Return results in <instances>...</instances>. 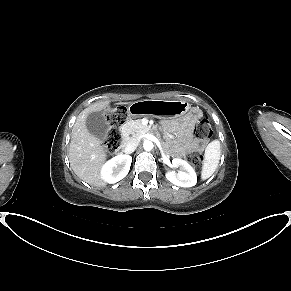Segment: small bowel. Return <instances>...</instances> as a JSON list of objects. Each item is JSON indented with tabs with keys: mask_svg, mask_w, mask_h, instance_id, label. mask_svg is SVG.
I'll return each mask as SVG.
<instances>
[{
	"mask_svg": "<svg viewBox=\"0 0 291 291\" xmlns=\"http://www.w3.org/2000/svg\"><path fill=\"white\" fill-rule=\"evenodd\" d=\"M199 118V110L191 108L184 118L166 123V128L177 135L174 148L176 156H182L196 146L192 137V124L198 122Z\"/></svg>",
	"mask_w": 291,
	"mask_h": 291,
	"instance_id": "c3829d8e",
	"label": "small bowel"
}]
</instances>
